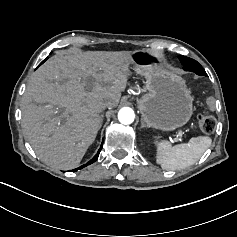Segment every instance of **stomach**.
I'll use <instances>...</instances> for the list:
<instances>
[{"label":"stomach","mask_w":237,"mask_h":237,"mask_svg":"<svg viewBox=\"0 0 237 237\" xmlns=\"http://www.w3.org/2000/svg\"><path fill=\"white\" fill-rule=\"evenodd\" d=\"M132 58L135 71L147 77L148 92L136 103L146 126L172 131L186 125L193 115L194 96L185 80L160 69L161 57L152 50L136 51Z\"/></svg>","instance_id":"obj_1"}]
</instances>
